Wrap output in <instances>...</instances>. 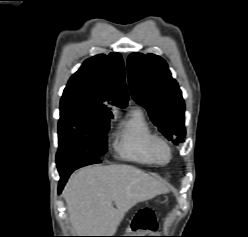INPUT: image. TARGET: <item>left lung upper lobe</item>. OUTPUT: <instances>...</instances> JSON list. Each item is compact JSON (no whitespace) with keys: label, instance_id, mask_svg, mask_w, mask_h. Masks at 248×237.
I'll list each match as a JSON object with an SVG mask.
<instances>
[{"label":"left lung upper lobe","instance_id":"5c2ea615","mask_svg":"<svg viewBox=\"0 0 248 237\" xmlns=\"http://www.w3.org/2000/svg\"><path fill=\"white\" fill-rule=\"evenodd\" d=\"M128 81L133 99L144 106L153 123L175 144L184 141L185 104L167 63L154 54L128 57Z\"/></svg>","mask_w":248,"mask_h":237}]
</instances>
